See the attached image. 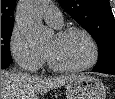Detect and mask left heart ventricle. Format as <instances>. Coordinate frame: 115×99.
<instances>
[{
  "mask_svg": "<svg viewBox=\"0 0 115 99\" xmlns=\"http://www.w3.org/2000/svg\"><path fill=\"white\" fill-rule=\"evenodd\" d=\"M44 51L60 66L82 65L91 56V48L88 41L78 33L63 37L53 35L46 44Z\"/></svg>",
  "mask_w": 115,
  "mask_h": 99,
  "instance_id": "1",
  "label": "left heart ventricle"
}]
</instances>
